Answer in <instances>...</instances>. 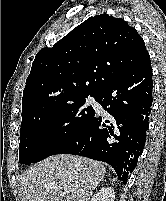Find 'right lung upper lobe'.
<instances>
[{
    "label": "right lung upper lobe",
    "instance_id": "1",
    "mask_svg": "<svg viewBox=\"0 0 166 201\" xmlns=\"http://www.w3.org/2000/svg\"><path fill=\"white\" fill-rule=\"evenodd\" d=\"M146 53L143 39L123 19L90 17L37 53L23 91L22 115L95 96Z\"/></svg>",
    "mask_w": 166,
    "mask_h": 201
}]
</instances>
